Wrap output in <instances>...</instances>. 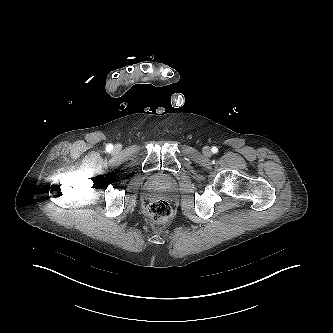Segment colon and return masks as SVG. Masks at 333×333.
Wrapping results in <instances>:
<instances>
[{"instance_id": "obj_1", "label": "colon", "mask_w": 333, "mask_h": 333, "mask_svg": "<svg viewBox=\"0 0 333 333\" xmlns=\"http://www.w3.org/2000/svg\"><path fill=\"white\" fill-rule=\"evenodd\" d=\"M148 214L155 222L162 223L170 218L172 208L167 201L158 199L149 204Z\"/></svg>"}]
</instances>
